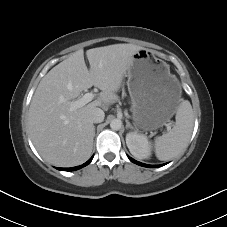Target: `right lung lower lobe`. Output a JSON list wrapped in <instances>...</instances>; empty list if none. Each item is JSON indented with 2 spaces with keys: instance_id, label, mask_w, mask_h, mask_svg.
<instances>
[{
  "instance_id": "1",
  "label": "right lung lower lobe",
  "mask_w": 227,
  "mask_h": 227,
  "mask_svg": "<svg viewBox=\"0 0 227 227\" xmlns=\"http://www.w3.org/2000/svg\"><path fill=\"white\" fill-rule=\"evenodd\" d=\"M93 159V157H91L86 163L80 165V166H76V167H71V168H58V170H62V171H74V170H78L86 165H88L91 160Z\"/></svg>"
}]
</instances>
